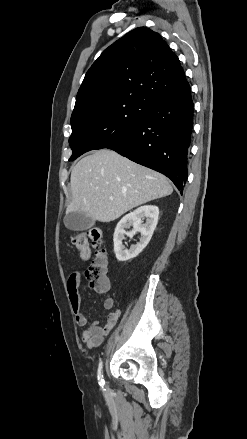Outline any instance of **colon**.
I'll use <instances>...</instances> for the list:
<instances>
[{
  "label": "colon",
  "instance_id": "obj_1",
  "mask_svg": "<svg viewBox=\"0 0 247 439\" xmlns=\"http://www.w3.org/2000/svg\"><path fill=\"white\" fill-rule=\"evenodd\" d=\"M72 242L78 249L79 256L83 261H88L91 257L90 245L95 249V255L85 271V276L94 291L98 293L108 291L110 288L108 261L103 247L101 230L95 227L89 228L73 236Z\"/></svg>",
  "mask_w": 247,
  "mask_h": 439
}]
</instances>
